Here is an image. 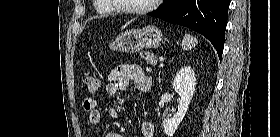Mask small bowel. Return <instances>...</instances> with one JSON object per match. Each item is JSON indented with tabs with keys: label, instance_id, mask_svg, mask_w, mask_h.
<instances>
[{
	"label": "small bowel",
	"instance_id": "c3829d8e",
	"mask_svg": "<svg viewBox=\"0 0 280 137\" xmlns=\"http://www.w3.org/2000/svg\"><path fill=\"white\" fill-rule=\"evenodd\" d=\"M132 83L138 92H146L150 89L152 80L148 77L142 68L135 65H120L114 69L109 75L105 86V91L109 96H115L125 91ZM96 99H86L83 108L88 114V123L91 127L97 126L101 121V113L97 108ZM110 118H118L119 110L116 107H110L108 110ZM141 137H153L154 126L151 122L143 121L140 124ZM106 137H123L119 133H109Z\"/></svg>",
	"mask_w": 280,
	"mask_h": 137
}]
</instances>
